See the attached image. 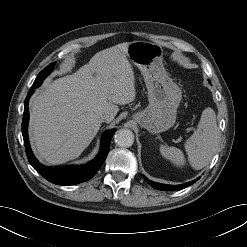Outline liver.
<instances>
[{"mask_svg":"<svg viewBox=\"0 0 247 247\" xmlns=\"http://www.w3.org/2000/svg\"><path fill=\"white\" fill-rule=\"evenodd\" d=\"M125 42L96 53L75 73L46 84L30 101V140L39 160L58 165L78 157L99 131L102 114L112 121L118 105L136 96Z\"/></svg>","mask_w":247,"mask_h":247,"instance_id":"obj_1","label":"liver"}]
</instances>
